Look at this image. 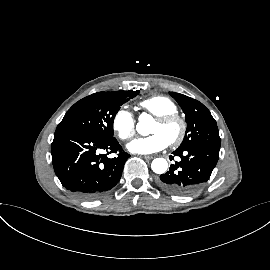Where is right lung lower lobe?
I'll return each mask as SVG.
<instances>
[{
	"label": "right lung lower lobe",
	"mask_w": 270,
	"mask_h": 270,
	"mask_svg": "<svg viewBox=\"0 0 270 270\" xmlns=\"http://www.w3.org/2000/svg\"><path fill=\"white\" fill-rule=\"evenodd\" d=\"M101 150L118 156L109 158L100 154ZM51 154L54 171L63 187L86 200L112 189L130 157L116 139L106 141L78 131L55 132Z\"/></svg>",
	"instance_id": "98d812e1"
}]
</instances>
